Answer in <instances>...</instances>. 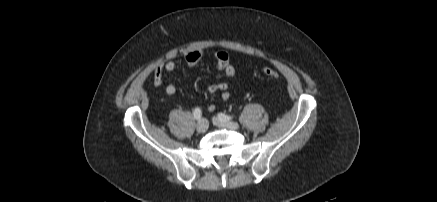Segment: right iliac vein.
I'll list each match as a JSON object with an SVG mask.
<instances>
[{"mask_svg":"<svg viewBox=\"0 0 437 202\" xmlns=\"http://www.w3.org/2000/svg\"><path fill=\"white\" fill-rule=\"evenodd\" d=\"M209 124L206 119H200L196 125V129L200 133H204L208 130Z\"/></svg>","mask_w":437,"mask_h":202,"instance_id":"1","label":"right iliac vein"}]
</instances>
